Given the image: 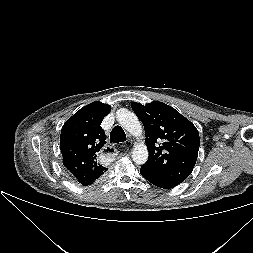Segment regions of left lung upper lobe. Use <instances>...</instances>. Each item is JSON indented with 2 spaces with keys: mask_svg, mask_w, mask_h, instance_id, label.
Instances as JSON below:
<instances>
[{
  "mask_svg": "<svg viewBox=\"0 0 253 253\" xmlns=\"http://www.w3.org/2000/svg\"><path fill=\"white\" fill-rule=\"evenodd\" d=\"M131 107L142 121L149 152L142 168L156 176L180 184L192 172L199 150V133L192 122L162 102Z\"/></svg>",
  "mask_w": 253,
  "mask_h": 253,
  "instance_id": "left-lung-upper-lobe-1",
  "label": "left lung upper lobe"
}]
</instances>
